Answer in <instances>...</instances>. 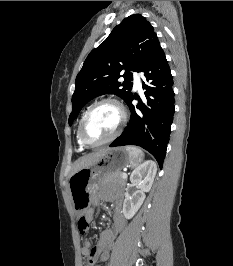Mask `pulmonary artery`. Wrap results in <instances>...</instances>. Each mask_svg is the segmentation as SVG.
Returning a JSON list of instances; mask_svg holds the SVG:
<instances>
[{
  "mask_svg": "<svg viewBox=\"0 0 233 266\" xmlns=\"http://www.w3.org/2000/svg\"><path fill=\"white\" fill-rule=\"evenodd\" d=\"M133 82H134V87L136 89H140L141 88V79H140V76L137 73H135L133 75Z\"/></svg>",
  "mask_w": 233,
  "mask_h": 266,
  "instance_id": "pulmonary-artery-1",
  "label": "pulmonary artery"
}]
</instances>
